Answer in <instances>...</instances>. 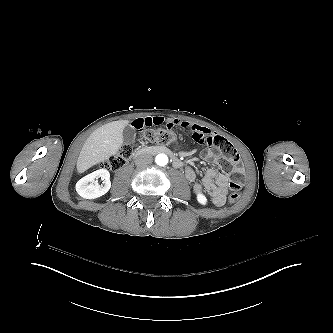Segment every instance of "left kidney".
<instances>
[{
    "instance_id": "obj_1",
    "label": "left kidney",
    "mask_w": 333,
    "mask_h": 333,
    "mask_svg": "<svg viewBox=\"0 0 333 333\" xmlns=\"http://www.w3.org/2000/svg\"><path fill=\"white\" fill-rule=\"evenodd\" d=\"M196 201L202 205V206H207L208 205V198L207 196L201 192V191H198L196 193Z\"/></svg>"
}]
</instances>
